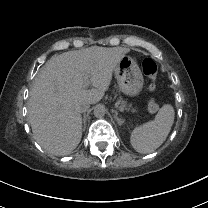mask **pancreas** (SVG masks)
<instances>
[{
  "label": "pancreas",
  "instance_id": "1",
  "mask_svg": "<svg viewBox=\"0 0 208 208\" xmlns=\"http://www.w3.org/2000/svg\"><path fill=\"white\" fill-rule=\"evenodd\" d=\"M119 102H120V105H121L122 108L126 109L127 111L130 110L131 104H128L126 101H123V100H120ZM137 109L138 108H135V109H133L131 111L136 112Z\"/></svg>",
  "mask_w": 208,
  "mask_h": 208
}]
</instances>
